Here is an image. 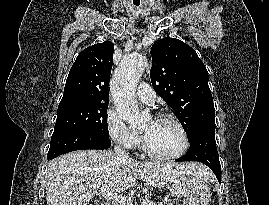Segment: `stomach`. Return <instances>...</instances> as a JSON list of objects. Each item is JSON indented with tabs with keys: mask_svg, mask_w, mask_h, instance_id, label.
<instances>
[{
	"mask_svg": "<svg viewBox=\"0 0 269 205\" xmlns=\"http://www.w3.org/2000/svg\"><path fill=\"white\" fill-rule=\"evenodd\" d=\"M172 194L182 205H208L210 192L205 181L192 174L180 175L171 185Z\"/></svg>",
	"mask_w": 269,
	"mask_h": 205,
	"instance_id": "obj_1",
	"label": "stomach"
}]
</instances>
